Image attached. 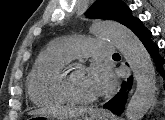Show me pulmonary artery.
Listing matches in <instances>:
<instances>
[{"label":"pulmonary artery","mask_w":165,"mask_h":120,"mask_svg":"<svg viewBox=\"0 0 165 120\" xmlns=\"http://www.w3.org/2000/svg\"><path fill=\"white\" fill-rule=\"evenodd\" d=\"M54 47L69 59L91 54L111 56L115 52V46L112 43L76 37H62L55 41Z\"/></svg>","instance_id":"pulmonary-artery-1"}]
</instances>
